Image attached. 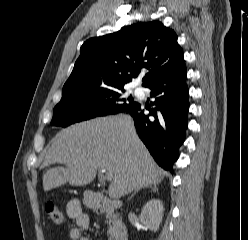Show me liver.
I'll return each mask as SVG.
<instances>
[{
	"instance_id": "6515ba94",
	"label": "liver",
	"mask_w": 248,
	"mask_h": 240,
	"mask_svg": "<svg viewBox=\"0 0 248 240\" xmlns=\"http://www.w3.org/2000/svg\"><path fill=\"white\" fill-rule=\"evenodd\" d=\"M53 163L65 167L46 171L44 191L66 183L87 185L95 178L97 169H105L113 174L108 189L112 199L158 184L163 174L138 138L132 118L127 115L97 118L62 129L43 165Z\"/></svg>"
}]
</instances>
